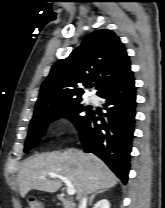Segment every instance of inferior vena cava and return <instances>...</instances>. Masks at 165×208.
<instances>
[{"mask_svg":"<svg viewBox=\"0 0 165 208\" xmlns=\"http://www.w3.org/2000/svg\"><path fill=\"white\" fill-rule=\"evenodd\" d=\"M87 206V197H83L79 200V207L78 208H86Z\"/></svg>","mask_w":165,"mask_h":208,"instance_id":"602c4592","label":"inferior vena cava"}]
</instances>
